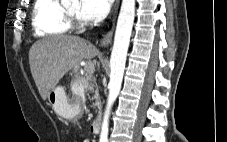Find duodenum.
Segmentation results:
<instances>
[{"instance_id": "duodenum-1", "label": "duodenum", "mask_w": 227, "mask_h": 142, "mask_svg": "<svg viewBox=\"0 0 227 142\" xmlns=\"http://www.w3.org/2000/svg\"><path fill=\"white\" fill-rule=\"evenodd\" d=\"M100 126H101V118L95 119L90 126L91 132L93 134H98L100 131Z\"/></svg>"}]
</instances>
